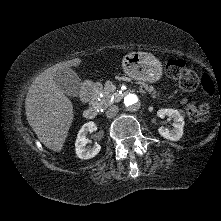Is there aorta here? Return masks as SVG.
<instances>
[{"label":"aorta","instance_id":"1","mask_svg":"<svg viewBox=\"0 0 221 221\" xmlns=\"http://www.w3.org/2000/svg\"><path fill=\"white\" fill-rule=\"evenodd\" d=\"M124 104L130 109H137L139 107V98L135 94H128L124 98Z\"/></svg>","mask_w":221,"mask_h":221}]
</instances>
